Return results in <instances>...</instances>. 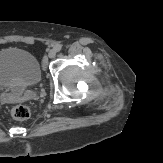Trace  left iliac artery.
<instances>
[{
  "label": "left iliac artery",
  "instance_id": "44dca946",
  "mask_svg": "<svg viewBox=\"0 0 163 163\" xmlns=\"http://www.w3.org/2000/svg\"><path fill=\"white\" fill-rule=\"evenodd\" d=\"M54 49L56 50V52H59L62 49V45L61 44H56Z\"/></svg>",
  "mask_w": 163,
  "mask_h": 163
}]
</instances>
